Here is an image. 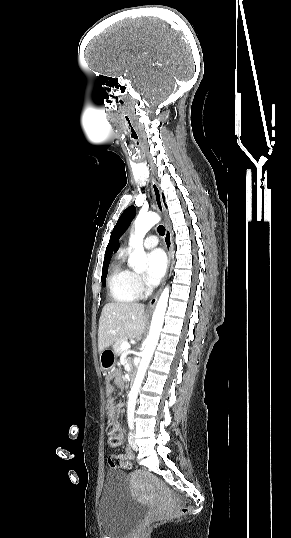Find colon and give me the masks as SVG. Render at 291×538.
<instances>
[{
    "label": "colon",
    "instance_id": "obj_1",
    "mask_svg": "<svg viewBox=\"0 0 291 538\" xmlns=\"http://www.w3.org/2000/svg\"><path fill=\"white\" fill-rule=\"evenodd\" d=\"M106 432H107V438H108V444L111 446V447H116L117 445H119L122 441V438H123V432L121 430V428L119 427V425L112 421L108 424L107 426V429H106ZM110 463L114 466H121L123 467L124 469H130L131 468V463L128 462V461H121L119 458H116L115 456H110ZM188 507L187 506H183L180 508V510L177 512L176 516L177 517H181L185 514H187L188 512Z\"/></svg>",
    "mask_w": 291,
    "mask_h": 538
}]
</instances>
